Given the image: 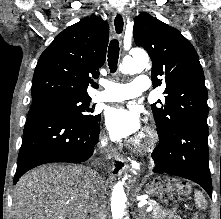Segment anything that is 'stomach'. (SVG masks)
<instances>
[{
  "label": "stomach",
  "mask_w": 221,
  "mask_h": 219,
  "mask_svg": "<svg viewBox=\"0 0 221 219\" xmlns=\"http://www.w3.org/2000/svg\"><path fill=\"white\" fill-rule=\"evenodd\" d=\"M178 178L157 177L146 186L147 192L152 195V199H173V195H179L180 184ZM168 183V184H165ZM170 183H175L172 189Z\"/></svg>",
  "instance_id": "stomach-1"
}]
</instances>
